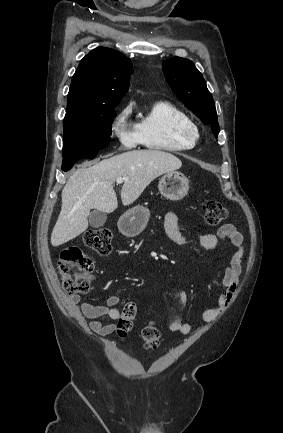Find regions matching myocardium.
<instances>
[{
	"instance_id": "1",
	"label": "myocardium",
	"mask_w": 283,
	"mask_h": 433,
	"mask_svg": "<svg viewBox=\"0 0 283 433\" xmlns=\"http://www.w3.org/2000/svg\"><path fill=\"white\" fill-rule=\"evenodd\" d=\"M176 137L184 147H193L201 139L202 132L193 121L182 122L177 128Z\"/></svg>"
}]
</instances>
